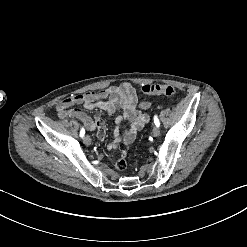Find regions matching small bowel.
Wrapping results in <instances>:
<instances>
[{"mask_svg":"<svg viewBox=\"0 0 247 247\" xmlns=\"http://www.w3.org/2000/svg\"><path fill=\"white\" fill-rule=\"evenodd\" d=\"M76 105H83L86 108L100 107L110 115L117 111L121 112L114 118L115 129L108 144L109 150L116 149L117 152L108 151L106 158L114 161V166L118 172H123L125 170L124 164L128 162L126 150L130 149V144L135 140L137 132L149 122V116L145 112L150 107L149 102L139 101L136 89L130 83H121L103 90L73 95L56 104L59 118L78 119L88 130L98 128L99 132L100 129L105 130L104 125L99 120L89 117L84 111L73 108ZM123 123H127L128 127L122 133L120 126ZM96 141L105 143L107 141L106 134L97 133Z\"/></svg>","mask_w":247,"mask_h":247,"instance_id":"c3829d8e","label":"small bowel"}]
</instances>
